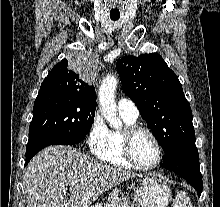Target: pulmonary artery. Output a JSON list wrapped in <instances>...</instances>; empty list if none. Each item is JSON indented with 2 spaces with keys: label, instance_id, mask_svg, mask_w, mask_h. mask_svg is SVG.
I'll return each instance as SVG.
<instances>
[{
  "label": "pulmonary artery",
  "instance_id": "pulmonary-artery-1",
  "mask_svg": "<svg viewBox=\"0 0 220 207\" xmlns=\"http://www.w3.org/2000/svg\"><path fill=\"white\" fill-rule=\"evenodd\" d=\"M120 114L127 115L133 119H137L139 111L135 103L128 98H121L117 103Z\"/></svg>",
  "mask_w": 220,
  "mask_h": 207
}]
</instances>
